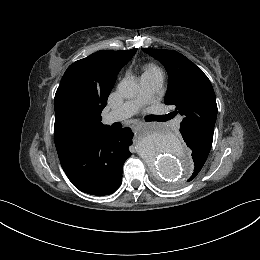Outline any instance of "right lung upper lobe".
I'll return each instance as SVG.
<instances>
[{
    "mask_svg": "<svg viewBox=\"0 0 260 260\" xmlns=\"http://www.w3.org/2000/svg\"><path fill=\"white\" fill-rule=\"evenodd\" d=\"M136 51L137 48L98 51L68 67L54 99L57 152L87 133L107 128L101 123V111L107 105L117 74ZM70 102L93 108L85 113H75Z\"/></svg>",
    "mask_w": 260,
    "mask_h": 260,
    "instance_id": "right-lung-upper-lobe-1",
    "label": "right lung upper lobe"
}]
</instances>
